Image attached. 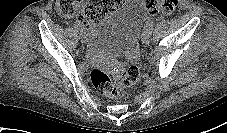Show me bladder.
Wrapping results in <instances>:
<instances>
[{
  "mask_svg": "<svg viewBox=\"0 0 227 133\" xmlns=\"http://www.w3.org/2000/svg\"><path fill=\"white\" fill-rule=\"evenodd\" d=\"M146 16L144 0H127L95 29L89 41V49L112 57L128 55Z\"/></svg>",
  "mask_w": 227,
  "mask_h": 133,
  "instance_id": "1",
  "label": "bladder"
}]
</instances>
